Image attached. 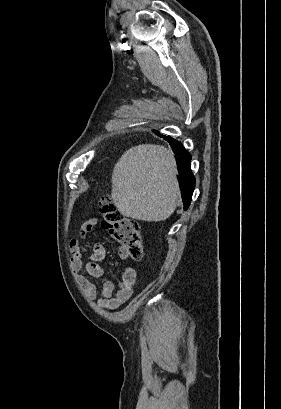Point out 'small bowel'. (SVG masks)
<instances>
[{
    "label": "small bowel",
    "mask_w": 281,
    "mask_h": 409,
    "mask_svg": "<svg viewBox=\"0 0 281 409\" xmlns=\"http://www.w3.org/2000/svg\"><path fill=\"white\" fill-rule=\"evenodd\" d=\"M93 222L99 223L100 217L94 216ZM93 222H82L81 229L84 234L94 235L96 233V228L94 227ZM70 251L72 252V270L75 273H78L84 269L88 275L101 283L102 288L98 291L93 282L82 275L77 276V283L80 288L91 298L97 299L101 306L111 309L117 308L132 296L133 287L137 277V271L134 268L126 267L124 269L121 281L118 284L117 289H115L114 284L105 277L103 270L97 264L98 261H101L105 257V249L102 245L95 244L92 247L88 261L84 259L81 246L76 239L70 241ZM120 256L125 258V252L121 250Z\"/></svg>",
    "instance_id": "1"
}]
</instances>
